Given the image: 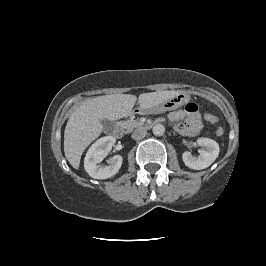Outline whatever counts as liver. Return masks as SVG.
<instances>
[{"mask_svg": "<svg viewBox=\"0 0 266 266\" xmlns=\"http://www.w3.org/2000/svg\"><path fill=\"white\" fill-rule=\"evenodd\" d=\"M179 94V91H156L140 94L141 110L157 106ZM137 100L135 95L112 94L89 98L70 115L64 131V153L75 169L87 146L102 132L101 120L115 121L130 115Z\"/></svg>", "mask_w": 266, "mask_h": 266, "instance_id": "1", "label": "liver"}]
</instances>
